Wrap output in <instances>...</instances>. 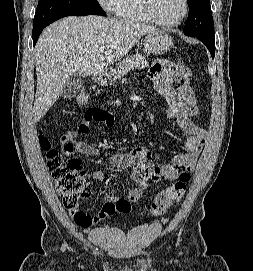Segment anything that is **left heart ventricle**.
<instances>
[{"mask_svg":"<svg viewBox=\"0 0 253 271\" xmlns=\"http://www.w3.org/2000/svg\"><path fill=\"white\" fill-rule=\"evenodd\" d=\"M156 16L165 22L178 20L184 10L183 0H152Z\"/></svg>","mask_w":253,"mask_h":271,"instance_id":"1","label":"left heart ventricle"}]
</instances>
